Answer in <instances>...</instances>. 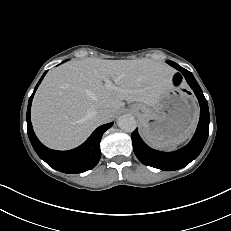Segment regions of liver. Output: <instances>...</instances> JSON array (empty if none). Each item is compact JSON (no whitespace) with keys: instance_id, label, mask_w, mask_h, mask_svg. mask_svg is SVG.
<instances>
[{"instance_id":"1","label":"liver","mask_w":231,"mask_h":231,"mask_svg":"<svg viewBox=\"0 0 231 231\" xmlns=\"http://www.w3.org/2000/svg\"><path fill=\"white\" fill-rule=\"evenodd\" d=\"M173 68L150 59L86 58L51 70L32 103L31 121L46 146L66 150L83 143L102 123L98 113L112 118L124 101L153 106L171 87ZM112 78L115 84L103 83Z\"/></svg>"}]
</instances>
